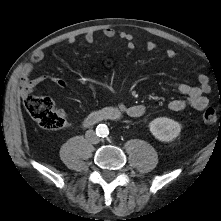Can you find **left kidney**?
I'll return each instance as SVG.
<instances>
[{
    "mask_svg": "<svg viewBox=\"0 0 221 221\" xmlns=\"http://www.w3.org/2000/svg\"><path fill=\"white\" fill-rule=\"evenodd\" d=\"M181 124L167 117H159L149 124L152 135L161 142L173 141L181 132Z\"/></svg>",
    "mask_w": 221,
    "mask_h": 221,
    "instance_id": "1",
    "label": "left kidney"
}]
</instances>
